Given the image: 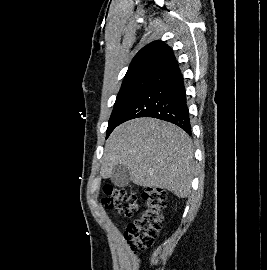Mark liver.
I'll return each instance as SVG.
<instances>
[{"mask_svg": "<svg viewBox=\"0 0 267 270\" xmlns=\"http://www.w3.org/2000/svg\"><path fill=\"white\" fill-rule=\"evenodd\" d=\"M193 157L192 141L182 129L155 118H137L116 127L108 138L100 176L109 178L116 165H123L135 185L185 198L191 192Z\"/></svg>", "mask_w": 267, "mask_h": 270, "instance_id": "6515ba94", "label": "liver"}]
</instances>
